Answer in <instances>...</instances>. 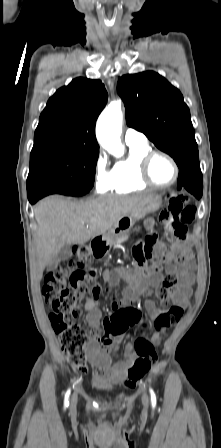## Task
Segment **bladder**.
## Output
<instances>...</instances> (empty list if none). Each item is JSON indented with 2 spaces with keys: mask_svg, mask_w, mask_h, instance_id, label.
Segmentation results:
<instances>
[{
  "mask_svg": "<svg viewBox=\"0 0 221 448\" xmlns=\"http://www.w3.org/2000/svg\"><path fill=\"white\" fill-rule=\"evenodd\" d=\"M90 386L92 387V389L100 392V393H109L111 391L114 390L115 385L114 383H112L111 381L103 378V377H99V376H92L90 378Z\"/></svg>",
  "mask_w": 221,
  "mask_h": 448,
  "instance_id": "obj_1",
  "label": "bladder"
}]
</instances>
